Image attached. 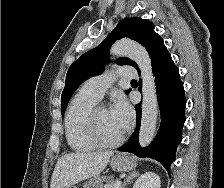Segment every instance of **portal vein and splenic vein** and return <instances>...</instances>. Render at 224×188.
I'll list each match as a JSON object with an SVG mask.
<instances>
[{"label": "portal vein and splenic vein", "instance_id": "1", "mask_svg": "<svg viewBox=\"0 0 224 188\" xmlns=\"http://www.w3.org/2000/svg\"><path fill=\"white\" fill-rule=\"evenodd\" d=\"M120 185H121V181L120 180H117L112 185H109L108 188H119Z\"/></svg>", "mask_w": 224, "mask_h": 188}]
</instances>
